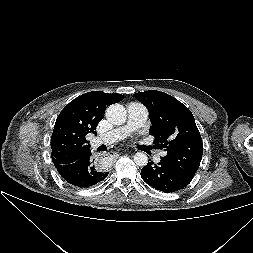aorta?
<instances>
[{
	"mask_svg": "<svg viewBox=\"0 0 253 253\" xmlns=\"http://www.w3.org/2000/svg\"><path fill=\"white\" fill-rule=\"evenodd\" d=\"M106 119L114 125H122L126 121V110L121 104L110 105L105 113ZM134 162L140 167H144L148 163V157L145 153L138 152L134 155Z\"/></svg>",
	"mask_w": 253,
	"mask_h": 253,
	"instance_id": "obj_1",
	"label": "aorta"
}]
</instances>
